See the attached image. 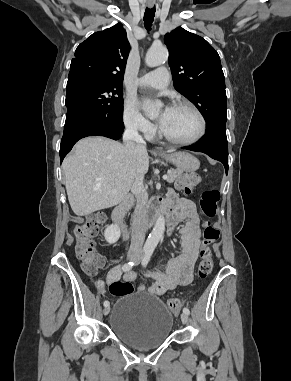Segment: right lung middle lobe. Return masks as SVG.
I'll return each mask as SVG.
<instances>
[{
  "mask_svg": "<svg viewBox=\"0 0 291 381\" xmlns=\"http://www.w3.org/2000/svg\"><path fill=\"white\" fill-rule=\"evenodd\" d=\"M122 97V86L75 79L67 82L65 104L67 112L81 110L92 121L122 118Z\"/></svg>",
  "mask_w": 291,
  "mask_h": 381,
  "instance_id": "right-lung-middle-lobe-1",
  "label": "right lung middle lobe"
}]
</instances>
